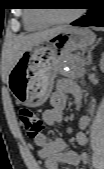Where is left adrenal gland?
<instances>
[{
	"mask_svg": "<svg viewBox=\"0 0 104 169\" xmlns=\"http://www.w3.org/2000/svg\"><path fill=\"white\" fill-rule=\"evenodd\" d=\"M96 46V44L94 46H92L89 51H88V55H87V58H86V64L87 65H90L92 63V59H91V51L92 49Z\"/></svg>",
	"mask_w": 104,
	"mask_h": 169,
	"instance_id": "left-adrenal-gland-1",
	"label": "left adrenal gland"
}]
</instances>
